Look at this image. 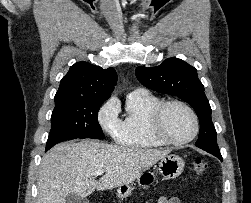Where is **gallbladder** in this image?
Listing matches in <instances>:
<instances>
[{"label": "gallbladder", "instance_id": "1", "mask_svg": "<svg viewBox=\"0 0 251 203\" xmlns=\"http://www.w3.org/2000/svg\"><path fill=\"white\" fill-rule=\"evenodd\" d=\"M66 203H89V201L87 198H83L75 193H71L66 197Z\"/></svg>", "mask_w": 251, "mask_h": 203}]
</instances>
